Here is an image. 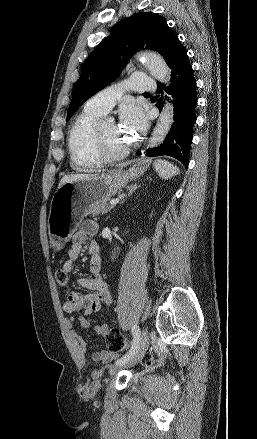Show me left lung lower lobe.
<instances>
[{
  "label": "left lung lower lobe",
  "instance_id": "left-lung-lower-lobe-1",
  "mask_svg": "<svg viewBox=\"0 0 257 439\" xmlns=\"http://www.w3.org/2000/svg\"><path fill=\"white\" fill-rule=\"evenodd\" d=\"M167 65L172 69L171 83L169 87H161L158 82L157 93L163 94L165 90L174 98V122L163 142L158 147L148 149L146 156L154 157L161 155L172 156L183 163L185 167L189 163L190 145L192 143V130L196 122L195 107L197 103L196 80L193 70L188 61L187 53L177 38L172 45L167 59ZM163 97L157 102L161 110ZM140 153L137 152V155Z\"/></svg>",
  "mask_w": 257,
  "mask_h": 439
}]
</instances>
